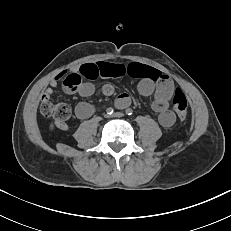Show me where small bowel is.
Wrapping results in <instances>:
<instances>
[{
  "label": "small bowel",
  "mask_w": 231,
  "mask_h": 231,
  "mask_svg": "<svg viewBox=\"0 0 231 231\" xmlns=\"http://www.w3.org/2000/svg\"><path fill=\"white\" fill-rule=\"evenodd\" d=\"M78 73L89 80L82 83L77 89L79 95L82 97H88L94 93L95 87L90 80L102 77L119 78L125 75L138 78V90L140 94L145 97L153 96L152 108L157 113L158 121L161 126L168 128L175 123V114L169 109V102L175 93V86L170 77L162 72L137 62H132L128 65L96 62L81 65L78 69ZM152 73H155L157 78H153ZM66 75L67 72L62 71L53 77L44 90L41 99L49 100L59 81L63 80ZM102 92L104 95L110 96L113 94L114 89L111 85L106 84L103 86ZM130 101V96L126 93H122L117 97L116 105L119 108H123L129 105ZM94 112V106L86 102L79 103L75 108V115L81 120L88 119ZM57 126L61 130H67L68 128L67 124L64 122H57Z\"/></svg>",
  "instance_id": "small-bowel-1"
}]
</instances>
